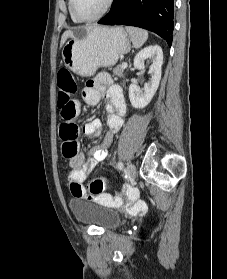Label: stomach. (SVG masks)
Segmentation results:
<instances>
[{
    "instance_id": "stomach-1",
    "label": "stomach",
    "mask_w": 227,
    "mask_h": 279,
    "mask_svg": "<svg viewBox=\"0 0 227 279\" xmlns=\"http://www.w3.org/2000/svg\"><path fill=\"white\" fill-rule=\"evenodd\" d=\"M62 49L64 65L80 76L110 67L131 49V38L121 27L79 28Z\"/></svg>"
}]
</instances>
